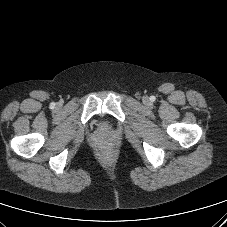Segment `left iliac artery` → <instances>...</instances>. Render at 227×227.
I'll list each match as a JSON object with an SVG mask.
<instances>
[{
  "instance_id": "left-iliac-artery-1",
  "label": "left iliac artery",
  "mask_w": 227,
  "mask_h": 227,
  "mask_svg": "<svg viewBox=\"0 0 227 227\" xmlns=\"http://www.w3.org/2000/svg\"><path fill=\"white\" fill-rule=\"evenodd\" d=\"M151 100H152V101H154V100H155V97H154V96H152V97H151Z\"/></svg>"
}]
</instances>
